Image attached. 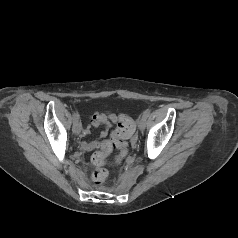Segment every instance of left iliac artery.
Listing matches in <instances>:
<instances>
[{"label":"left iliac artery","instance_id":"44dca946","mask_svg":"<svg viewBox=\"0 0 238 238\" xmlns=\"http://www.w3.org/2000/svg\"><path fill=\"white\" fill-rule=\"evenodd\" d=\"M150 112H151V110H150V109H147V110L143 113L142 117L145 118V119L148 118L149 115H150Z\"/></svg>","mask_w":238,"mask_h":238}]
</instances>
